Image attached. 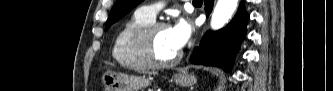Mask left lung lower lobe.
Wrapping results in <instances>:
<instances>
[{"label": "left lung lower lobe", "mask_w": 333, "mask_h": 91, "mask_svg": "<svg viewBox=\"0 0 333 91\" xmlns=\"http://www.w3.org/2000/svg\"><path fill=\"white\" fill-rule=\"evenodd\" d=\"M213 8V0H205L207 15ZM249 20L244 1H241L239 9L232 21L222 30L208 31L198 47L191 55L190 61L194 64L217 66L225 71H230L233 59L239 45L246 34V25Z\"/></svg>", "instance_id": "0a47b994"}]
</instances>
